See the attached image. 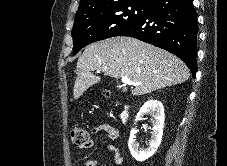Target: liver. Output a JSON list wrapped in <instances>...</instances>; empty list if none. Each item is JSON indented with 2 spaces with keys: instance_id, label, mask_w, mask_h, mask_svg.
I'll return each mask as SVG.
<instances>
[{
  "instance_id": "6515ba94",
  "label": "liver",
  "mask_w": 227,
  "mask_h": 166,
  "mask_svg": "<svg viewBox=\"0 0 227 166\" xmlns=\"http://www.w3.org/2000/svg\"><path fill=\"white\" fill-rule=\"evenodd\" d=\"M73 96L77 100L101 78L92 71L109 77H127L138 83L132 87L134 96L187 81L190 72L175 55L132 37H112L87 46L76 66Z\"/></svg>"
}]
</instances>
